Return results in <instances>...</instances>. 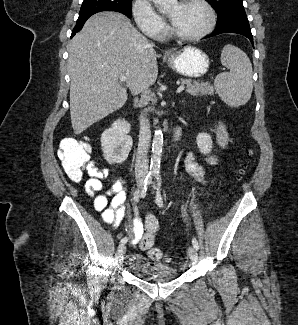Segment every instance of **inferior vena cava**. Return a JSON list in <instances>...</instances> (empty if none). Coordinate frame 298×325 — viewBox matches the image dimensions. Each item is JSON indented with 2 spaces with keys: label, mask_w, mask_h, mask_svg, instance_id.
Masks as SVG:
<instances>
[{
  "label": "inferior vena cava",
  "mask_w": 298,
  "mask_h": 325,
  "mask_svg": "<svg viewBox=\"0 0 298 325\" xmlns=\"http://www.w3.org/2000/svg\"><path fill=\"white\" fill-rule=\"evenodd\" d=\"M150 44H152V42H150ZM150 140L151 130L149 118H147V116H142L140 120L139 142L135 160V177L137 181H140V179H145V177L148 175V150L150 146Z\"/></svg>",
  "instance_id": "1"
}]
</instances>
